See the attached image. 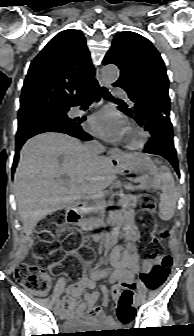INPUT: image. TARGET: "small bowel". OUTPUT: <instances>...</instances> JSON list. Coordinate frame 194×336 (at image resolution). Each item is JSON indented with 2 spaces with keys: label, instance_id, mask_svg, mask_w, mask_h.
Wrapping results in <instances>:
<instances>
[{
  "label": "small bowel",
  "instance_id": "small-bowel-1",
  "mask_svg": "<svg viewBox=\"0 0 194 336\" xmlns=\"http://www.w3.org/2000/svg\"><path fill=\"white\" fill-rule=\"evenodd\" d=\"M125 240L120 248H115L111 254L112 271L94 270L88 276L82 277L79 281L67 288L68 295L64 298L65 309L62 312L64 318L74 323H85L90 326H96L104 323L108 326L115 325L112 319L102 317L100 309L95 307V302L103 294V305L107 306L108 296L105 286L102 284L104 279L111 282H117L120 286H127L132 283L135 274L138 271L139 251L136 242L139 238V232L132 223V211H124ZM122 250V251H121ZM155 263L147 258L142 259V268L150 271ZM54 266H60L54 264ZM91 289V292H85ZM98 289V290H97ZM84 294V300L80 296ZM82 327L83 325H78Z\"/></svg>",
  "mask_w": 194,
  "mask_h": 336
}]
</instances>
